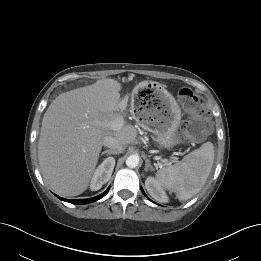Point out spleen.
<instances>
[{"label":"spleen","mask_w":261,"mask_h":261,"mask_svg":"<svg viewBox=\"0 0 261 261\" xmlns=\"http://www.w3.org/2000/svg\"><path fill=\"white\" fill-rule=\"evenodd\" d=\"M214 146L202 144L184 156L182 161L157 171L156 179L165 189L176 193L179 200L195 196L204 186L214 162Z\"/></svg>","instance_id":"3e777b00"}]
</instances>
